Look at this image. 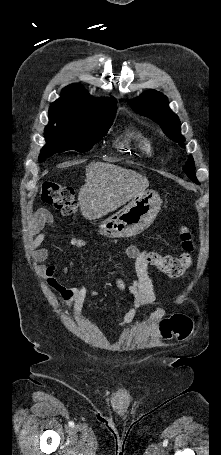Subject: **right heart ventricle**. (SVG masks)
<instances>
[{"label":"right heart ventricle","instance_id":"right-heart-ventricle-1","mask_svg":"<svg viewBox=\"0 0 221 455\" xmlns=\"http://www.w3.org/2000/svg\"><path fill=\"white\" fill-rule=\"evenodd\" d=\"M131 145H134L139 151L145 154H150L152 151L151 139L140 130L129 131L121 143L123 147Z\"/></svg>","mask_w":221,"mask_h":455}]
</instances>
